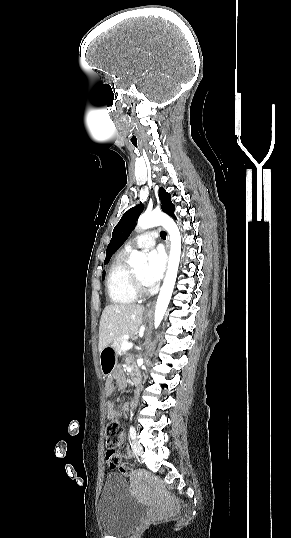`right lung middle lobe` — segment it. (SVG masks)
<instances>
[{
  "mask_svg": "<svg viewBox=\"0 0 291 538\" xmlns=\"http://www.w3.org/2000/svg\"><path fill=\"white\" fill-rule=\"evenodd\" d=\"M105 263H106V262H105ZM102 278H103V279L105 278V271H103Z\"/></svg>",
  "mask_w": 291,
  "mask_h": 538,
  "instance_id": "dd1d6c3e",
  "label": "right lung middle lobe"
}]
</instances>
